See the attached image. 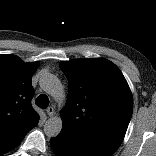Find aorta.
I'll use <instances>...</instances> for the list:
<instances>
[{
  "mask_svg": "<svg viewBox=\"0 0 156 156\" xmlns=\"http://www.w3.org/2000/svg\"><path fill=\"white\" fill-rule=\"evenodd\" d=\"M39 85L47 94L54 99H61L64 97L63 87L58 78L53 74H44L40 80ZM62 118L60 116L50 117L44 124V132L47 137H56L62 130Z\"/></svg>",
  "mask_w": 156,
  "mask_h": 156,
  "instance_id": "762f6f07",
  "label": "aorta"
}]
</instances>
